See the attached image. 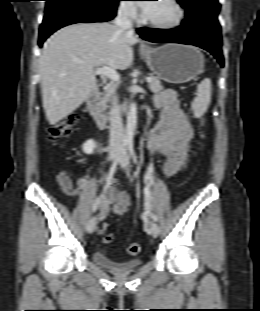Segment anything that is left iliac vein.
Masks as SVG:
<instances>
[{"label": "left iliac vein", "mask_w": 260, "mask_h": 311, "mask_svg": "<svg viewBox=\"0 0 260 311\" xmlns=\"http://www.w3.org/2000/svg\"><path fill=\"white\" fill-rule=\"evenodd\" d=\"M119 163L122 166V168L125 169L126 172L128 173L129 172V168H130V157H129V154H128L126 149L119 156ZM159 232H160L159 225L156 222H153L150 225V233H151V235L154 238H156L159 235Z\"/></svg>", "instance_id": "1"}]
</instances>
